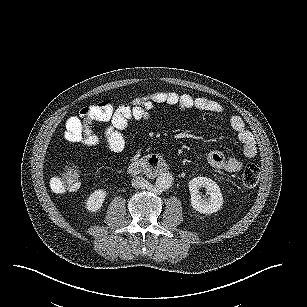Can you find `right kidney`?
Returning a JSON list of instances; mask_svg holds the SVG:
<instances>
[{"label":"right kidney","mask_w":307,"mask_h":307,"mask_svg":"<svg viewBox=\"0 0 307 307\" xmlns=\"http://www.w3.org/2000/svg\"><path fill=\"white\" fill-rule=\"evenodd\" d=\"M105 196L106 194L103 190L95 191L92 193L86 203L87 209L90 211H97L100 209Z\"/></svg>","instance_id":"ca27d5eb"}]
</instances>
